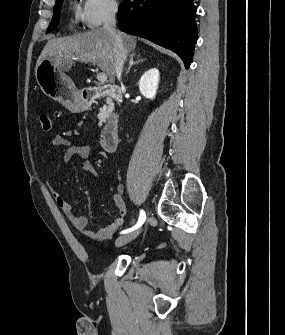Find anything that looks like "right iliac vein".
Here are the masks:
<instances>
[{"instance_id": "right-iliac-vein-1", "label": "right iliac vein", "mask_w": 285, "mask_h": 335, "mask_svg": "<svg viewBox=\"0 0 285 335\" xmlns=\"http://www.w3.org/2000/svg\"><path fill=\"white\" fill-rule=\"evenodd\" d=\"M139 233H140V229L132 233L120 236L115 242L116 246H123L129 243L130 241L134 240L139 235Z\"/></svg>"}]
</instances>
